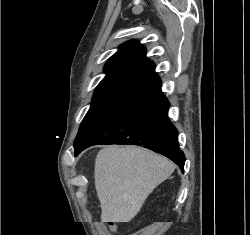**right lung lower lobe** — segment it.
Instances as JSON below:
<instances>
[{"label":"right lung lower lobe","instance_id":"1","mask_svg":"<svg viewBox=\"0 0 250 235\" xmlns=\"http://www.w3.org/2000/svg\"><path fill=\"white\" fill-rule=\"evenodd\" d=\"M169 102L156 79L131 96L114 112L74 144V154L98 144H131L160 153L184 170L185 155L179 148L178 131L170 122Z\"/></svg>","mask_w":250,"mask_h":235}]
</instances>
